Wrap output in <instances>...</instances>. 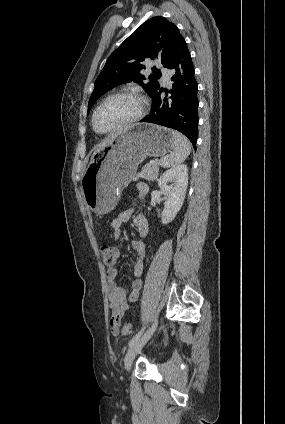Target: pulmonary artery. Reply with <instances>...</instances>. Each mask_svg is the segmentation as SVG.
Listing matches in <instances>:
<instances>
[{
  "instance_id": "pulmonary-artery-1",
  "label": "pulmonary artery",
  "mask_w": 285,
  "mask_h": 424,
  "mask_svg": "<svg viewBox=\"0 0 285 424\" xmlns=\"http://www.w3.org/2000/svg\"><path fill=\"white\" fill-rule=\"evenodd\" d=\"M161 71L163 73V82L168 83L170 80V77H169L170 70L167 68H161Z\"/></svg>"
}]
</instances>
